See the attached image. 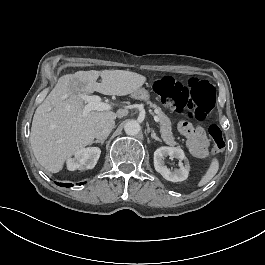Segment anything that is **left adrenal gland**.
<instances>
[{
  "mask_svg": "<svg viewBox=\"0 0 265 265\" xmlns=\"http://www.w3.org/2000/svg\"><path fill=\"white\" fill-rule=\"evenodd\" d=\"M151 137L153 139L159 141V142H162V140L159 137L156 136V133L154 132V130H152V132H151Z\"/></svg>",
  "mask_w": 265,
  "mask_h": 265,
  "instance_id": "obj_1",
  "label": "left adrenal gland"
}]
</instances>
